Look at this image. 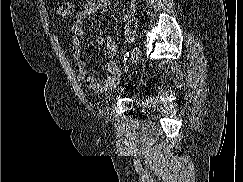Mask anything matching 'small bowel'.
Here are the masks:
<instances>
[{"label":"small bowel","instance_id":"c3829d8e","mask_svg":"<svg viewBox=\"0 0 243 182\" xmlns=\"http://www.w3.org/2000/svg\"><path fill=\"white\" fill-rule=\"evenodd\" d=\"M110 8L109 0H87L83 8L76 13L70 26L72 35V55L74 58V70L79 80L85 85L98 92L106 93L115 89L121 78L122 70L115 61L116 47L112 40H107L108 63L107 71L109 76L104 81H99L96 77L89 75L87 71V61L82 57L81 38L84 35L83 25L88 17L107 12ZM100 42L103 40L100 39Z\"/></svg>","mask_w":243,"mask_h":182}]
</instances>
